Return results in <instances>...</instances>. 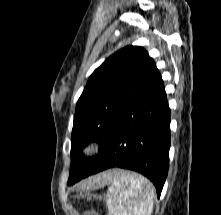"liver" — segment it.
<instances>
[{"instance_id": "1", "label": "liver", "mask_w": 221, "mask_h": 215, "mask_svg": "<svg viewBox=\"0 0 221 215\" xmlns=\"http://www.w3.org/2000/svg\"><path fill=\"white\" fill-rule=\"evenodd\" d=\"M117 171H107L99 175L93 176L80 184L83 189L99 188L111 182Z\"/></svg>"}]
</instances>
